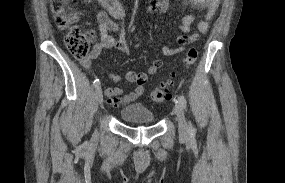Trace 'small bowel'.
I'll return each instance as SVG.
<instances>
[{
  "label": "small bowel",
  "mask_w": 285,
  "mask_h": 183,
  "mask_svg": "<svg viewBox=\"0 0 285 183\" xmlns=\"http://www.w3.org/2000/svg\"><path fill=\"white\" fill-rule=\"evenodd\" d=\"M102 10L96 12V19L100 32V41L96 43L89 56L81 61L82 66L91 71L92 62L99 57L103 50H118L125 54H130V44L125 37V30L116 20H122L125 12L120 0H96ZM185 2L195 8L206 9L205 16L197 20L193 14H187L181 17L179 21V29L182 32L177 36L176 42L179 45L177 48H172L169 45L162 47V53L165 56H173L185 51L186 46L198 40V33H191L194 25L200 33H205L209 29L210 21L214 17L220 0H185ZM169 6L168 0H151L146 12L148 14L164 13ZM163 66L161 59H154L146 71H128L126 79L135 84L134 91L124 93V90L119 86L105 87L104 93L106 102L114 107L124 106L135 101L144 93V85L149 75L156 74ZM110 79L113 82H118L120 77L111 74Z\"/></svg>",
  "instance_id": "1"
}]
</instances>
